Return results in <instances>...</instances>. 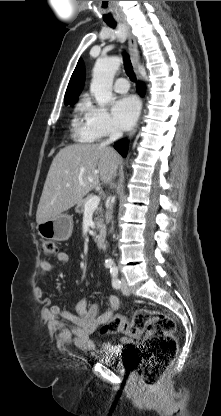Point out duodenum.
Instances as JSON below:
<instances>
[{
  "label": "duodenum",
  "instance_id": "duodenum-1",
  "mask_svg": "<svg viewBox=\"0 0 221 416\" xmlns=\"http://www.w3.org/2000/svg\"><path fill=\"white\" fill-rule=\"evenodd\" d=\"M106 239V228L101 225L98 227V232L96 235V243L99 248L103 247Z\"/></svg>",
  "mask_w": 221,
  "mask_h": 416
}]
</instances>
